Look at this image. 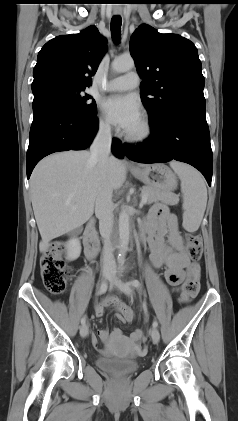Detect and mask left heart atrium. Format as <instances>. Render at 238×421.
I'll list each match as a JSON object with an SVG mask.
<instances>
[{"mask_svg": "<svg viewBox=\"0 0 238 421\" xmlns=\"http://www.w3.org/2000/svg\"><path fill=\"white\" fill-rule=\"evenodd\" d=\"M103 110L117 126L130 131L141 121L140 105L131 95H114L103 102Z\"/></svg>", "mask_w": 238, "mask_h": 421, "instance_id": "1", "label": "left heart atrium"}]
</instances>
